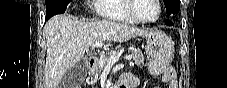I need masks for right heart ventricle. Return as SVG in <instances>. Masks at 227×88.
<instances>
[{"mask_svg":"<svg viewBox=\"0 0 227 88\" xmlns=\"http://www.w3.org/2000/svg\"><path fill=\"white\" fill-rule=\"evenodd\" d=\"M128 0H94L93 8L97 15L104 19L135 23L126 11Z\"/></svg>","mask_w":227,"mask_h":88,"instance_id":"e07e8e85","label":"right heart ventricle"}]
</instances>
